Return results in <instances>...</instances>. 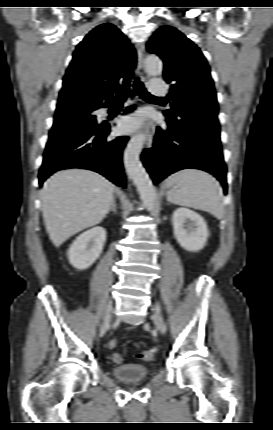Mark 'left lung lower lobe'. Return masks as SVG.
<instances>
[{"mask_svg": "<svg viewBox=\"0 0 273 430\" xmlns=\"http://www.w3.org/2000/svg\"><path fill=\"white\" fill-rule=\"evenodd\" d=\"M164 114L167 130L158 127L153 147L142 154V161L154 183L178 170L196 168L213 174L226 193V165L217 118L203 115L186 122L169 113Z\"/></svg>", "mask_w": 273, "mask_h": 430, "instance_id": "0a47b994", "label": "left lung lower lobe"}]
</instances>
